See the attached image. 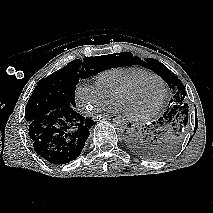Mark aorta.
Wrapping results in <instances>:
<instances>
[{"label":"aorta","instance_id":"1","mask_svg":"<svg viewBox=\"0 0 213 213\" xmlns=\"http://www.w3.org/2000/svg\"><path fill=\"white\" fill-rule=\"evenodd\" d=\"M113 126L118 132L123 133L127 129V121L124 117L117 116L113 119Z\"/></svg>","mask_w":213,"mask_h":213}]
</instances>
